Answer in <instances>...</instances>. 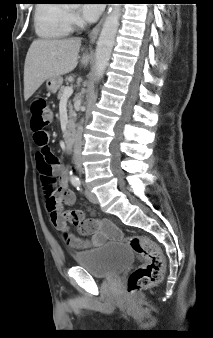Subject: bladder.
Listing matches in <instances>:
<instances>
[{"label":"bladder","mask_w":213,"mask_h":338,"mask_svg":"<svg viewBox=\"0 0 213 338\" xmlns=\"http://www.w3.org/2000/svg\"><path fill=\"white\" fill-rule=\"evenodd\" d=\"M134 251L124 242H108L86 253L74 255L78 267L95 278H111L134 261Z\"/></svg>","instance_id":"31cf9c89"}]
</instances>
